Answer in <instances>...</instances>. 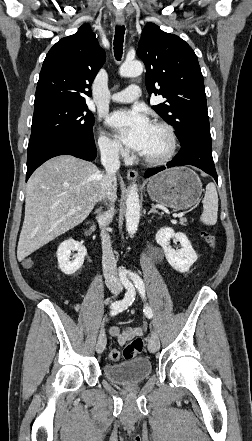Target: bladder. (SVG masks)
Returning <instances> with one entry per match:
<instances>
[{
  "label": "bladder",
  "mask_w": 252,
  "mask_h": 441,
  "mask_svg": "<svg viewBox=\"0 0 252 441\" xmlns=\"http://www.w3.org/2000/svg\"><path fill=\"white\" fill-rule=\"evenodd\" d=\"M105 377L118 384H133L144 381L152 371V364L147 357H133L121 363L104 365Z\"/></svg>",
  "instance_id": "1"
}]
</instances>
